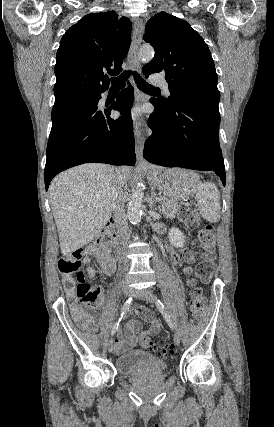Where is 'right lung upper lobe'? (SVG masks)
I'll return each mask as SVG.
<instances>
[{"label": "right lung upper lobe", "mask_w": 274, "mask_h": 427, "mask_svg": "<svg viewBox=\"0 0 274 427\" xmlns=\"http://www.w3.org/2000/svg\"><path fill=\"white\" fill-rule=\"evenodd\" d=\"M131 22L114 11L88 14L66 31L57 51L55 104L109 87L122 71L131 43Z\"/></svg>", "instance_id": "1"}]
</instances>
